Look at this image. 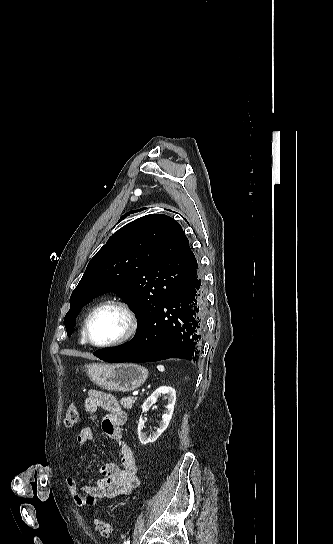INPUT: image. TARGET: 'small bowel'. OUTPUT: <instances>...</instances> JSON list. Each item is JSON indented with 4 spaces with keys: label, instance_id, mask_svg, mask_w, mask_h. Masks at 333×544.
<instances>
[{
    "label": "small bowel",
    "instance_id": "1",
    "mask_svg": "<svg viewBox=\"0 0 333 544\" xmlns=\"http://www.w3.org/2000/svg\"><path fill=\"white\" fill-rule=\"evenodd\" d=\"M84 409L88 414H94L99 409L107 412L102 421V430L119 446L121 466L104 463L100 468L104 477L84 487L78 485L75 477H67L70 495L74 503L81 508L94 506L101 499H113L129 494L140 483L134 452L126 443L122 433V426L127 420V415L117 400L111 394L90 390L84 402ZM93 438V430L89 426H83L77 435V441L81 445H86Z\"/></svg>",
    "mask_w": 333,
    "mask_h": 544
}]
</instances>
